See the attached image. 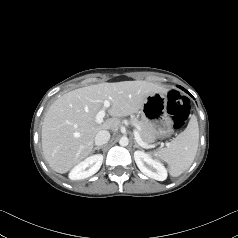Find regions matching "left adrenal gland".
<instances>
[{
	"label": "left adrenal gland",
	"mask_w": 238,
	"mask_h": 238,
	"mask_svg": "<svg viewBox=\"0 0 238 238\" xmlns=\"http://www.w3.org/2000/svg\"><path fill=\"white\" fill-rule=\"evenodd\" d=\"M134 148H138V149H141V147L138 145V143L136 141H134Z\"/></svg>",
	"instance_id": "obj_1"
}]
</instances>
